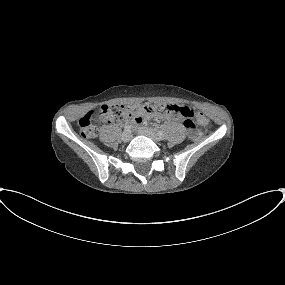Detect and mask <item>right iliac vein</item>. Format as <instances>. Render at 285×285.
Wrapping results in <instances>:
<instances>
[{
  "mask_svg": "<svg viewBox=\"0 0 285 285\" xmlns=\"http://www.w3.org/2000/svg\"><path fill=\"white\" fill-rule=\"evenodd\" d=\"M131 138H132V135H131L130 132H124V133L122 134V140H123L124 142H129V141L131 140Z\"/></svg>",
  "mask_w": 285,
  "mask_h": 285,
  "instance_id": "obj_1",
  "label": "right iliac vein"
}]
</instances>
